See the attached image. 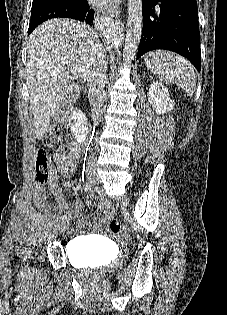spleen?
Masks as SVG:
<instances>
[{
    "label": "spleen",
    "mask_w": 227,
    "mask_h": 315,
    "mask_svg": "<svg viewBox=\"0 0 227 315\" xmlns=\"http://www.w3.org/2000/svg\"><path fill=\"white\" fill-rule=\"evenodd\" d=\"M146 66L166 82H175L190 96L196 86L194 68L186 59L170 52L157 51L145 58Z\"/></svg>",
    "instance_id": "spleen-1"
}]
</instances>
